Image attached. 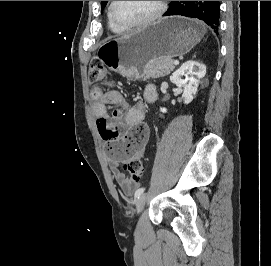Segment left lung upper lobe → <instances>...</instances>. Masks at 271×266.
Wrapping results in <instances>:
<instances>
[{"mask_svg":"<svg viewBox=\"0 0 271 266\" xmlns=\"http://www.w3.org/2000/svg\"><path fill=\"white\" fill-rule=\"evenodd\" d=\"M108 1H101V9L103 10Z\"/></svg>","mask_w":271,"mask_h":266,"instance_id":"obj_1","label":"left lung upper lobe"}]
</instances>
